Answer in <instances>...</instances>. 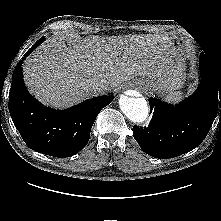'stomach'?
<instances>
[{
  "label": "stomach",
  "instance_id": "obj_1",
  "mask_svg": "<svg viewBox=\"0 0 221 221\" xmlns=\"http://www.w3.org/2000/svg\"><path fill=\"white\" fill-rule=\"evenodd\" d=\"M175 51L173 64L155 79L139 78L134 84L142 90L156 91L166 100L177 101L181 98L180 89L183 87L184 76V42L181 39L173 41Z\"/></svg>",
  "mask_w": 221,
  "mask_h": 221
}]
</instances>
